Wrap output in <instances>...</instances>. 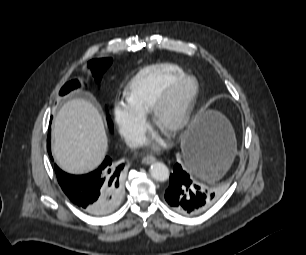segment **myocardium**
I'll return each mask as SVG.
<instances>
[{
    "mask_svg": "<svg viewBox=\"0 0 306 255\" xmlns=\"http://www.w3.org/2000/svg\"><path fill=\"white\" fill-rule=\"evenodd\" d=\"M187 88H190V90L185 97V100L182 103L176 118L167 126L161 129L168 133L174 134L183 130L188 125L200 93L199 82L194 76H184L182 79L174 83L156 100L149 111L150 119L154 126L160 128L159 122L164 110L170 106L175 101V99Z\"/></svg>",
    "mask_w": 306,
    "mask_h": 255,
    "instance_id": "1",
    "label": "myocardium"
}]
</instances>
